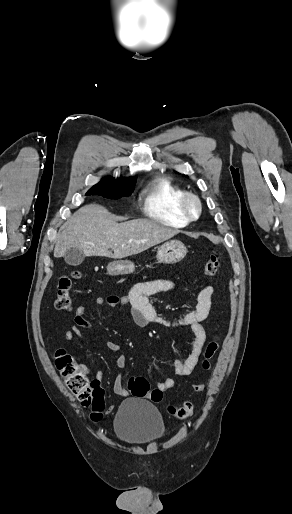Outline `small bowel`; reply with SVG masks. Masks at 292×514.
<instances>
[{"mask_svg": "<svg viewBox=\"0 0 292 514\" xmlns=\"http://www.w3.org/2000/svg\"><path fill=\"white\" fill-rule=\"evenodd\" d=\"M175 287V282L170 279H158L146 282H140L134 285L128 295L119 297L117 295L96 296L93 300L98 307L108 306L111 309L124 307L128 310L130 318L139 327H148L150 325H160L164 327L188 326L192 333L193 339L188 348V354L184 361L176 360L173 363L174 374L176 377L182 378L189 376L197 365L199 355L206 341V332L202 326V322L207 319L211 308V297L214 289L212 286L204 287L198 294L197 305L194 309L187 312L183 317L176 321H170L157 312L155 307L149 302L151 295L170 291ZM86 307L79 305L76 307L73 315V325L65 331L64 339L73 341L79 334L81 329H92L91 323L86 319ZM106 347L112 353L117 354L116 365L120 368L126 365L127 358L121 354V346L114 341H107ZM79 369L87 371L92 366L83 364ZM97 380L102 379V372L96 370L92 372ZM175 386L173 378H167L159 382L156 386L162 392L168 391ZM114 393L119 397H128L129 391L123 385L122 376H118L113 384ZM115 409L110 404L106 409L107 413Z\"/></svg>", "mask_w": 292, "mask_h": 514, "instance_id": "c3829d8e", "label": "small bowel"}]
</instances>
